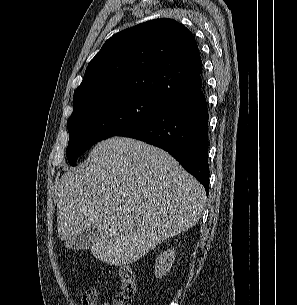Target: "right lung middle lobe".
I'll return each mask as SVG.
<instances>
[{
	"mask_svg": "<svg viewBox=\"0 0 297 305\" xmlns=\"http://www.w3.org/2000/svg\"><path fill=\"white\" fill-rule=\"evenodd\" d=\"M168 99L146 93L109 96L73 110L68 119L66 156L75 166L77 158L98 141L129 129L162 108Z\"/></svg>",
	"mask_w": 297,
	"mask_h": 305,
	"instance_id": "right-lung-middle-lobe-1",
	"label": "right lung middle lobe"
}]
</instances>
